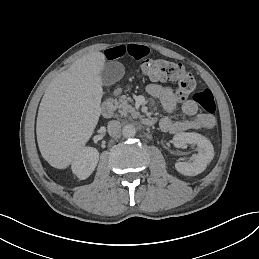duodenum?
Wrapping results in <instances>:
<instances>
[{
	"label": "duodenum",
	"mask_w": 259,
	"mask_h": 259,
	"mask_svg": "<svg viewBox=\"0 0 259 259\" xmlns=\"http://www.w3.org/2000/svg\"><path fill=\"white\" fill-rule=\"evenodd\" d=\"M114 111V103L111 99H106L102 102L101 113L104 117L109 118L112 116ZM156 120L152 117H145L142 119V123L151 126L155 124Z\"/></svg>",
	"instance_id": "duodenum-1"
}]
</instances>
